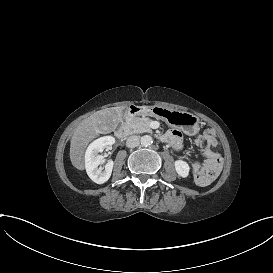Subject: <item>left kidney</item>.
<instances>
[{
    "label": "left kidney",
    "mask_w": 273,
    "mask_h": 273,
    "mask_svg": "<svg viewBox=\"0 0 273 273\" xmlns=\"http://www.w3.org/2000/svg\"><path fill=\"white\" fill-rule=\"evenodd\" d=\"M175 169H176V172L178 173V175H180L183 178L188 176L189 170H190L187 162L182 161V160L175 161Z\"/></svg>",
    "instance_id": "obj_1"
}]
</instances>
